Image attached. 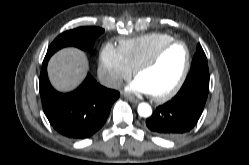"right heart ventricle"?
I'll return each mask as SVG.
<instances>
[{
	"instance_id": "e07e8e85",
	"label": "right heart ventricle",
	"mask_w": 249,
	"mask_h": 165,
	"mask_svg": "<svg viewBox=\"0 0 249 165\" xmlns=\"http://www.w3.org/2000/svg\"><path fill=\"white\" fill-rule=\"evenodd\" d=\"M172 40H174V37L167 33L152 32L120 41L119 50L127 65L131 70H134L161 45Z\"/></svg>"
}]
</instances>
